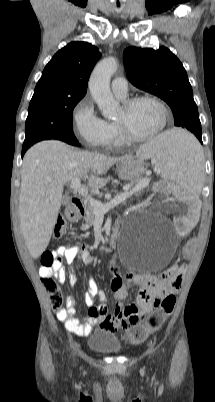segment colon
<instances>
[{
  "label": "colon",
  "mask_w": 215,
  "mask_h": 402,
  "mask_svg": "<svg viewBox=\"0 0 215 402\" xmlns=\"http://www.w3.org/2000/svg\"><path fill=\"white\" fill-rule=\"evenodd\" d=\"M67 230L66 222L63 218L59 217L54 226V235L56 238L62 237ZM196 238L191 237L187 245L181 248V259L191 260L192 252L196 249ZM65 249L70 250L73 247L72 242L67 241L64 244ZM56 262L55 255L52 252H46L42 256V265L47 268L54 266ZM181 271L180 267H171L167 269L162 276L173 277ZM43 284L50 296V300L54 310L57 313L64 311L63 309V294L58 284L53 278H44ZM175 304V297L173 295H166L161 298H156L154 306L156 309L148 316L145 323L135 324L125 333V339L130 343H138L143 341L151 332L156 331L161 327L165 319L170 315Z\"/></svg>",
  "instance_id": "5ec220e1"
}]
</instances>
